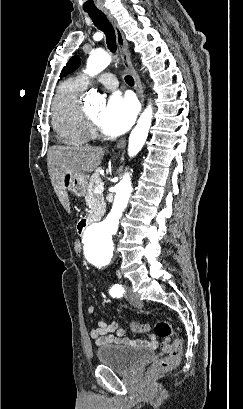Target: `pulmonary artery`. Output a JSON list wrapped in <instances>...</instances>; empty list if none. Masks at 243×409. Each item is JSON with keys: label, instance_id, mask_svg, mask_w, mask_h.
<instances>
[{"label": "pulmonary artery", "instance_id": "pulmonary-artery-1", "mask_svg": "<svg viewBox=\"0 0 243 409\" xmlns=\"http://www.w3.org/2000/svg\"><path fill=\"white\" fill-rule=\"evenodd\" d=\"M80 78L85 82V84L90 83V79L88 76L81 75ZM97 80L109 90L115 89L118 85L117 79L112 73L102 74Z\"/></svg>", "mask_w": 243, "mask_h": 409}]
</instances>
